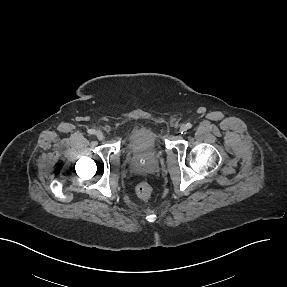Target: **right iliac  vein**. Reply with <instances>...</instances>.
Returning a JSON list of instances; mask_svg holds the SVG:
<instances>
[{
  "label": "right iliac vein",
  "mask_w": 287,
  "mask_h": 287,
  "mask_svg": "<svg viewBox=\"0 0 287 287\" xmlns=\"http://www.w3.org/2000/svg\"><path fill=\"white\" fill-rule=\"evenodd\" d=\"M96 137H97L99 140H103V139H104V134H103L101 131H97V132H96Z\"/></svg>",
  "instance_id": "63e3f726"
}]
</instances>
